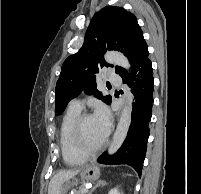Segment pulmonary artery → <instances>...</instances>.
Listing matches in <instances>:
<instances>
[{"instance_id":"1","label":"pulmonary artery","mask_w":201,"mask_h":194,"mask_svg":"<svg viewBox=\"0 0 201 194\" xmlns=\"http://www.w3.org/2000/svg\"><path fill=\"white\" fill-rule=\"evenodd\" d=\"M106 79L108 82H110L114 85H117V86H120L122 83L121 77L115 73H109L107 75ZM69 107L81 110L83 107V103L80 99L75 98L70 102Z\"/></svg>"}]
</instances>
